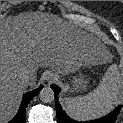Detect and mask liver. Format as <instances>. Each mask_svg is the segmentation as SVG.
Instances as JSON below:
<instances>
[{
	"label": "liver",
	"instance_id": "obj_1",
	"mask_svg": "<svg viewBox=\"0 0 123 123\" xmlns=\"http://www.w3.org/2000/svg\"><path fill=\"white\" fill-rule=\"evenodd\" d=\"M104 46L92 34L47 13L31 12L1 21V123L16 114L22 95L34 86L38 67L75 72L95 63ZM28 72L30 80L21 74Z\"/></svg>",
	"mask_w": 123,
	"mask_h": 123
}]
</instances>
